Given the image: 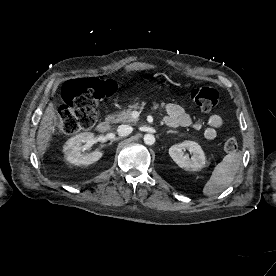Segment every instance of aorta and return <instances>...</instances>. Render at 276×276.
Wrapping results in <instances>:
<instances>
[{"label":"aorta","instance_id":"1","mask_svg":"<svg viewBox=\"0 0 276 276\" xmlns=\"http://www.w3.org/2000/svg\"><path fill=\"white\" fill-rule=\"evenodd\" d=\"M144 142L147 145H153L155 143V137L152 134H146L144 136Z\"/></svg>","mask_w":276,"mask_h":276}]
</instances>
